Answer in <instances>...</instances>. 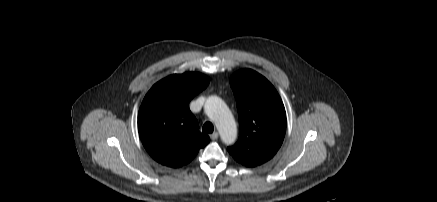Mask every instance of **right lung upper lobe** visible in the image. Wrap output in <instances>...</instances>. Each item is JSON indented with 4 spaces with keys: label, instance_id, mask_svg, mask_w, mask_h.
<instances>
[{
    "label": "right lung upper lobe",
    "instance_id": "right-lung-upper-lobe-1",
    "mask_svg": "<svg viewBox=\"0 0 437 202\" xmlns=\"http://www.w3.org/2000/svg\"><path fill=\"white\" fill-rule=\"evenodd\" d=\"M209 84L196 72L170 75L146 94L138 113V131L150 156L162 165L177 168L190 161L210 138L199 132L189 109L191 99Z\"/></svg>",
    "mask_w": 437,
    "mask_h": 202
}]
</instances>
